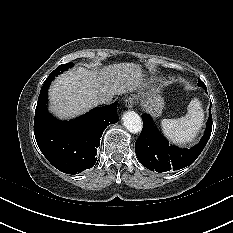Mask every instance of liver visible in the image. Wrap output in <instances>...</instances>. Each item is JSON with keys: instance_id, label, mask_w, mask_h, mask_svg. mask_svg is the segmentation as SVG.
<instances>
[{"instance_id": "1", "label": "liver", "mask_w": 233, "mask_h": 233, "mask_svg": "<svg viewBox=\"0 0 233 233\" xmlns=\"http://www.w3.org/2000/svg\"><path fill=\"white\" fill-rule=\"evenodd\" d=\"M139 65L119 63L100 70L77 67L58 76L49 90V110L60 119H71L97 106L101 95H119L141 87Z\"/></svg>"}]
</instances>
